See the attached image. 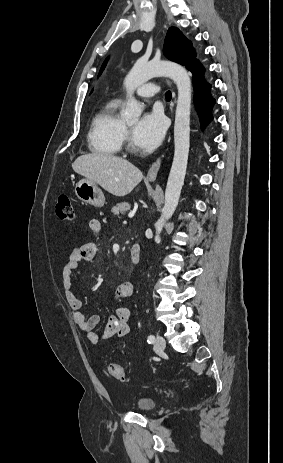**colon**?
I'll list each match as a JSON object with an SVG mask.
<instances>
[{
	"instance_id": "colon-1",
	"label": "colon",
	"mask_w": 283,
	"mask_h": 463,
	"mask_svg": "<svg viewBox=\"0 0 283 463\" xmlns=\"http://www.w3.org/2000/svg\"><path fill=\"white\" fill-rule=\"evenodd\" d=\"M56 214L61 220H72L74 218V208L72 200L67 195H61L56 206ZM108 372L113 378L125 382L127 377L124 368L116 363L108 364Z\"/></svg>"
}]
</instances>
